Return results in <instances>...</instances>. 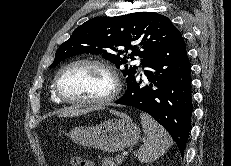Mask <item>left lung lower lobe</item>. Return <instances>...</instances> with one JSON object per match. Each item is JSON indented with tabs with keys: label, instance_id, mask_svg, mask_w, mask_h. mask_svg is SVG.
Here are the masks:
<instances>
[{
	"label": "left lung lower lobe",
	"instance_id": "left-lung-lower-lobe-1",
	"mask_svg": "<svg viewBox=\"0 0 231 166\" xmlns=\"http://www.w3.org/2000/svg\"><path fill=\"white\" fill-rule=\"evenodd\" d=\"M128 88L115 103L132 106L151 115L172 136L181 155L191 129V65L181 32L142 65ZM144 81H148L146 85Z\"/></svg>",
	"mask_w": 231,
	"mask_h": 166
}]
</instances>
